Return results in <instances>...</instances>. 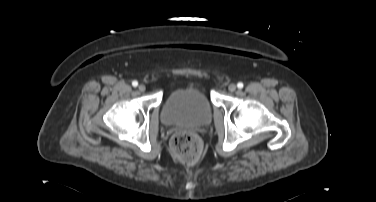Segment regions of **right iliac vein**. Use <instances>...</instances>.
<instances>
[{
    "instance_id": "right-iliac-vein-1",
    "label": "right iliac vein",
    "mask_w": 376,
    "mask_h": 202,
    "mask_svg": "<svg viewBox=\"0 0 376 202\" xmlns=\"http://www.w3.org/2000/svg\"><path fill=\"white\" fill-rule=\"evenodd\" d=\"M138 89H139L140 92H144L145 89H146V87H145V85L140 84V85L138 86Z\"/></svg>"
}]
</instances>
